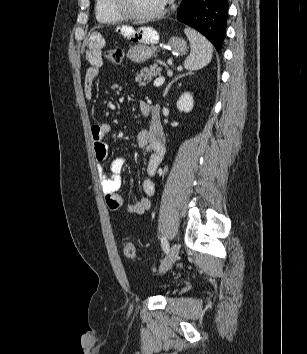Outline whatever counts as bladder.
<instances>
[{
  "label": "bladder",
  "instance_id": "bladder-1",
  "mask_svg": "<svg viewBox=\"0 0 307 354\" xmlns=\"http://www.w3.org/2000/svg\"><path fill=\"white\" fill-rule=\"evenodd\" d=\"M157 287L163 293H167L170 290V286L167 283H163V282L157 283Z\"/></svg>",
  "mask_w": 307,
  "mask_h": 354
}]
</instances>
